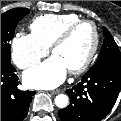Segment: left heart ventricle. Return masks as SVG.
Here are the masks:
<instances>
[{
    "mask_svg": "<svg viewBox=\"0 0 121 121\" xmlns=\"http://www.w3.org/2000/svg\"><path fill=\"white\" fill-rule=\"evenodd\" d=\"M93 43V30L90 25H82L77 28L70 38L55 51L67 70L76 68L87 57Z\"/></svg>",
    "mask_w": 121,
    "mask_h": 121,
    "instance_id": "obj_1",
    "label": "left heart ventricle"
}]
</instances>
